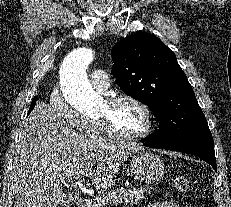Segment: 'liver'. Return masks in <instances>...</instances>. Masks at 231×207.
<instances>
[{
    "label": "liver",
    "mask_w": 231,
    "mask_h": 207,
    "mask_svg": "<svg viewBox=\"0 0 231 207\" xmlns=\"http://www.w3.org/2000/svg\"><path fill=\"white\" fill-rule=\"evenodd\" d=\"M143 148L88 139L72 130L56 108L39 102L24 124L13 162L15 207H57L65 179L90 177L108 190L129 155Z\"/></svg>",
    "instance_id": "6515ba94"
}]
</instances>
